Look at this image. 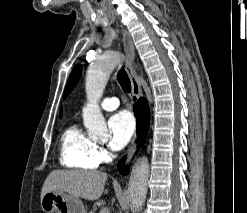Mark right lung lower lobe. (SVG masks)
<instances>
[{"label":"right lung lower lobe","instance_id":"98d812e1","mask_svg":"<svg viewBox=\"0 0 247 213\" xmlns=\"http://www.w3.org/2000/svg\"><path fill=\"white\" fill-rule=\"evenodd\" d=\"M133 110L137 120L138 143L142 144L147 136L150 120L149 107L145 99L140 98L138 102L135 103ZM124 161L125 158H123L118 164V170L123 175L127 174L129 171V168H124Z\"/></svg>","mask_w":247,"mask_h":213}]
</instances>
